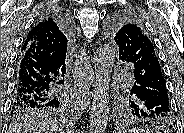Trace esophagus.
Wrapping results in <instances>:
<instances>
[{
    "label": "esophagus",
    "mask_w": 184,
    "mask_h": 133,
    "mask_svg": "<svg viewBox=\"0 0 184 133\" xmlns=\"http://www.w3.org/2000/svg\"><path fill=\"white\" fill-rule=\"evenodd\" d=\"M82 75H83V78L88 83V87H89L90 84H92L93 82L94 72L88 61L82 62ZM81 105H82V108H86L89 105V98H84V100H82Z\"/></svg>",
    "instance_id": "esophagus-1"
}]
</instances>
